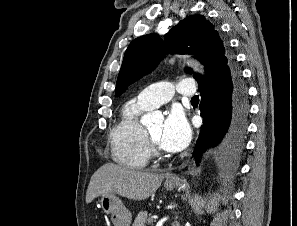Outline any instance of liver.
<instances>
[{"label": "liver", "instance_id": "obj_1", "mask_svg": "<svg viewBox=\"0 0 297 226\" xmlns=\"http://www.w3.org/2000/svg\"><path fill=\"white\" fill-rule=\"evenodd\" d=\"M164 175H158L113 163L101 166L91 177L86 203L103 194L116 193L131 200H145L161 185Z\"/></svg>", "mask_w": 297, "mask_h": 226}]
</instances>
